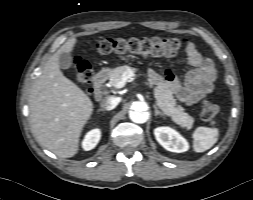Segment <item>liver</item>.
Returning <instances> with one entry per match:
<instances>
[{
	"label": "liver",
	"instance_id": "liver-1",
	"mask_svg": "<svg viewBox=\"0 0 253 200\" xmlns=\"http://www.w3.org/2000/svg\"><path fill=\"white\" fill-rule=\"evenodd\" d=\"M76 38L68 39L45 63L29 96L31 122L39 143L61 158L78 152L79 139L93 112V103L60 70L59 58L70 53Z\"/></svg>",
	"mask_w": 253,
	"mask_h": 200
}]
</instances>
